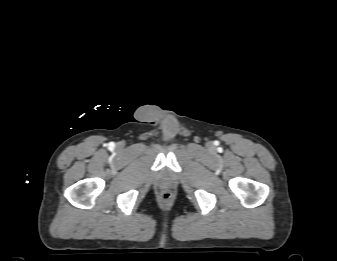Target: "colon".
<instances>
[{
    "label": "colon",
    "mask_w": 337,
    "mask_h": 261,
    "mask_svg": "<svg viewBox=\"0 0 337 261\" xmlns=\"http://www.w3.org/2000/svg\"><path fill=\"white\" fill-rule=\"evenodd\" d=\"M160 198L163 202H169L172 198V194L171 192L169 191H163L161 194H160Z\"/></svg>",
    "instance_id": "5ec220e1"
}]
</instances>
